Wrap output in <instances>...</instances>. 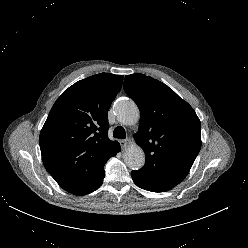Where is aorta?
I'll list each match as a JSON object with an SVG mask.
<instances>
[{
  "instance_id": "1",
  "label": "aorta",
  "mask_w": 248,
  "mask_h": 248,
  "mask_svg": "<svg viewBox=\"0 0 248 248\" xmlns=\"http://www.w3.org/2000/svg\"><path fill=\"white\" fill-rule=\"evenodd\" d=\"M117 119L124 125H134L140 118V112L136 103L129 98H122L115 105ZM125 164L133 169L138 170L145 164V154L142 148L133 144L127 148L124 153Z\"/></svg>"
}]
</instances>
